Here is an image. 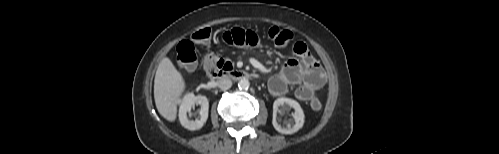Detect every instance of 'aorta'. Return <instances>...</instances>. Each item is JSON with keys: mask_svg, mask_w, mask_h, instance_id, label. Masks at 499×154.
I'll use <instances>...</instances> for the list:
<instances>
[{"mask_svg": "<svg viewBox=\"0 0 499 154\" xmlns=\"http://www.w3.org/2000/svg\"><path fill=\"white\" fill-rule=\"evenodd\" d=\"M250 83L247 79H241L238 83V88L240 90H248Z\"/></svg>", "mask_w": 499, "mask_h": 154, "instance_id": "762f6f07", "label": "aorta"}]
</instances>
